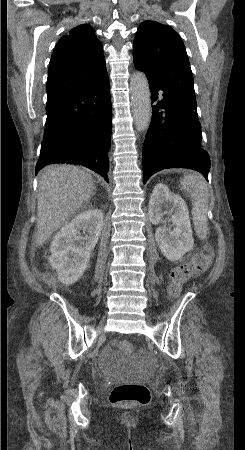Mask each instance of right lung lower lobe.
I'll return each mask as SVG.
<instances>
[{
	"label": "right lung lower lobe",
	"instance_id": "right-lung-lower-lobe-1",
	"mask_svg": "<svg viewBox=\"0 0 245 450\" xmlns=\"http://www.w3.org/2000/svg\"><path fill=\"white\" fill-rule=\"evenodd\" d=\"M46 110L35 173L47 164H79L108 182L112 107L107 70Z\"/></svg>",
	"mask_w": 245,
	"mask_h": 450
}]
</instances>
